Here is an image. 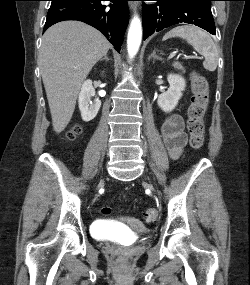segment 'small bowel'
I'll return each mask as SVG.
<instances>
[{
  "instance_id": "1",
  "label": "small bowel",
  "mask_w": 250,
  "mask_h": 285,
  "mask_svg": "<svg viewBox=\"0 0 250 285\" xmlns=\"http://www.w3.org/2000/svg\"><path fill=\"white\" fill-rule=\"evenodd\" d=\"M161 131L170 156L177 159L187 142L183 119L176 114L167 117Z\"/></svg>"
}]
</instances>
